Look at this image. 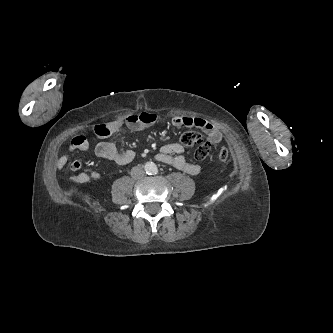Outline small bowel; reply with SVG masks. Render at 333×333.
Masks as SVG:
<instances>
[{"label": "small bowel", "instance_id": "small-bowel-1", "mask_svg": "<svg viewBox=\"0 0 333 333\" xmlns=\"http://www.w3.org/2000/svg\"><path fill=\"white\" fill-rule=\"evenodd\" d=\"M156 121V115L153 113L143 112L141 114H132L124 119L114 120L108 124L111 134L104 137L100 142L95 145V154L107 161L113 162L117 165H126L130 163L135 153L133 150L125 149L118 150L111 140V137L119 132L124 126L140 130L151 126ZM172 124L176 127H196L201 129L206 135L207 139L213 143H219L222 140L221 130L211 123L202 118L190 116H175L172 119ZM91 141L85 136L79 135L72 138L68 147V153L61 155L57 160V167H64L69 161V153L73 151H86L91 146ZM184 147L179 143H169L164 145L160 153L157 154L156 159L160 162L174 166L190 175H197L200 172V167L196 164L189 163L184 155ZM82 161L74 160L70 163V170L77 171L81 168ZM100 174L93 171L90 174L81 173L72 178L76 184H84L90 179H99Z\"/></svg>", "mask_w": 333, "mask_h": 333}]
</instances>
